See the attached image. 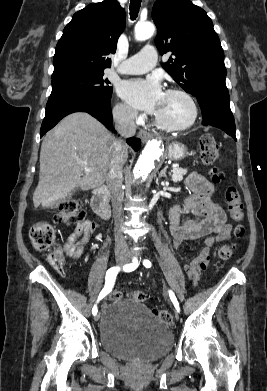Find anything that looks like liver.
<instances>
[{
    "label": "liver",
    "instance_id": "liver-1",
    "mask_svg": "<svg viewBox=\"0 0 267 391\" xmlns=\"http://www.w3.org/2000/svg\"><path fill=\"white\" fill-rule=\"evenodd\" d=\"M115 138L94 117L85 112L66 116L43 139L40 151L39 182L33 204L48 207L75 187L96 188L108 175ZM128 151L124 152V163ZM91 171L83 172L85 165Z\"/></svg>",
    "mask_w": 267,
    "mask_h": 391
}]
</instances>
